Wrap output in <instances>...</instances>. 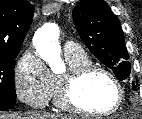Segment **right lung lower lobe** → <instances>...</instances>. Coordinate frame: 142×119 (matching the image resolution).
<instances>
[{
    "mask_svg": "<svg viewBox=\"0 0 142 119\" xmlns=\"http://www.w3.org/2000/svg\"><path fill=\"white\" fill-rule=\"evenodd\" d=\"M15 102L12 101H5V100H0V110H7L11 108Z\"/></svg>",
    "mask_w": 142,
    "mask_h": 119,
    "instance_id": "1",
    "label": "right lung lower lobe"
}]
</instances>
